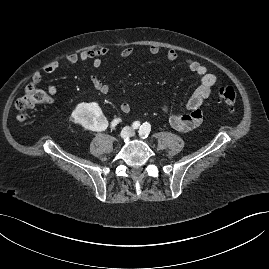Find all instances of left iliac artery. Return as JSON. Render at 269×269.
<instances>
[{
	"label": "left iliac artery",
	"mask_w": 269,
	"mask_h": 269,
	"mask_svg": "<svg viewBox=\"0 0 269 269\" xmlns=\"http://www.w3.org/2000/svg\"><path fill=\"white\" fill-rule=\"evenodd\" d=\"M151 126L148 122L143 123L139 129V135L142 137H147L150 133Z\"/></svg>",
	"instance_id": "44dca946"
}]
</instances>
